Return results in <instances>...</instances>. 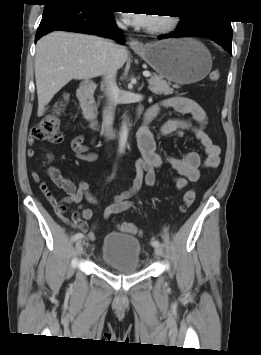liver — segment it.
I'll return each instance as SVG.
<instances>
[{"instance_id":"6515ba94","label":"liver","mask_w":261,"mask_h":355,"mask_svg":"<svg viewBox=\"0 0 261 355\" xmlns=\"http://www.w3.org/2000/svg\"><path fill=\"white\" fill-rule=\"evenodd\" d=\"M109 42L92 35L63 31L52 32L37 42L35 79L39 117L54 95L72 79H91L104 74ZM127 57L126 48L119 46L118 69Z\"/></svg>"}]
</instances>
